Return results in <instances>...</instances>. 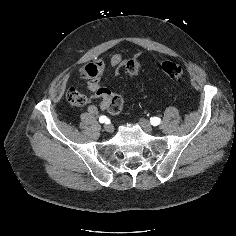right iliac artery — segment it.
Instances as JSON below:
<instances>
[{"mask_svg": "<svg viewBox=\"0 0 236 236\" xmlns=\"http://www.w3.org/2000/svg\"><path fill=\"white\" fill-rule=\"evenodd\" d=\"M107 121H108V118L104 115L99 118L100 123H107Z\"/></svg>", "mask_w": 236, "mask_h": 236, "instance_id": "obj_1", "label": "right iliac artery"}]
</instances>
